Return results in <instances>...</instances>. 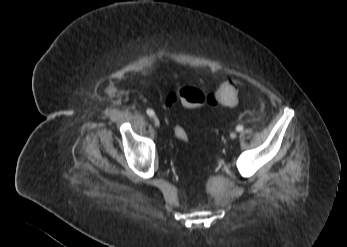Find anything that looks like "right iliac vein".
Returning <instances> with one entry per match:
<instances>
[{
  "label": "right iliac vein",
  "mask_w": 347,
  "mask_h": 247,
  "mask_svg": "<svg viewBox=\"0 0 347 247\" xmlns=\"http://www.w3.org/2000/svg\"><path fill=\"white\" fill-rule=\"evenodd\" d=\"M153 123H154V125H155L156 127H159V126H160V121H159V119H158L156 116L153 117Z\"/></svg>",
  "instance_id": "1"
}]
</instances>
